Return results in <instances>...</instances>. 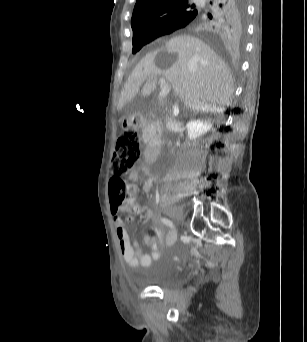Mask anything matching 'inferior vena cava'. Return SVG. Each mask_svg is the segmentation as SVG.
Wrapping results in <instances>:
<instances>
[{"instance_id": "1", "label": "inferior vena cava", "mask_w": 307, "mask_h": 342, "mask_svg": "<svg viewBox=\"0 0 307 342\" xmlns=\"http://www.w3.org/2000/svg\"><path fill=\"white\" fill-rule=\"evenodd\" d=\"M173 126H175V122L172 118H166V128H173Z\"/></svg>"}]
</instances>
